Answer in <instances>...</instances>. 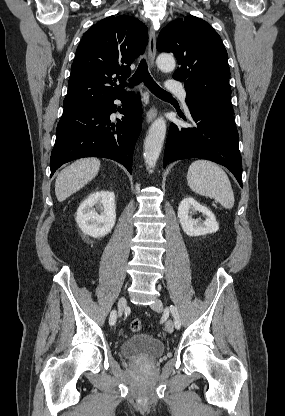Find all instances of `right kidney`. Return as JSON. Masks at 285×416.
Instances as JSON below:
<instances>
[{
  "label": "right kidney",
  "mask_w": 285,
  "mask_h": 416,
  "mask_svg": "<svg viewBox=\"0 0 285 416\" xmlns=\"http://www.w3.org/2000/svg\"><path fill=\"white\" fill-rule=\"evenodd\" d=\"M75 220L80 230L87 236L102 238L110 234L116 222L114 192L101 190L90 194L84 202H81Z\"/></svg>",
  "instance_id": "ca27d5eb"
}]
</instances>
